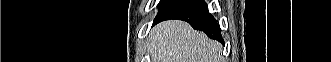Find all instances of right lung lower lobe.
Instances as JSON below:
<instances>
[{"label":"right lung lower lobe","mask_w":331,"mask_h":62,"mask_svg":"<svg viewBox=\"0 0 331 62\" xmlns=\"http://www.w3.org/2000/svg\"><path fill=\"white\" fill-rule=\"evenodd\" d=\"M169 19L187 21L194 29L204 31L209 38L223 43L220 27L202 0H179L157 16L153 25Z\"/></svg>","instance_id":"98d812e1"}]
</instances>
